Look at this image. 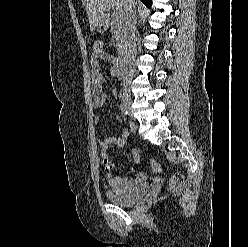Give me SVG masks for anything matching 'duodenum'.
Listing matches in <instances>:
<instances>
[{
	"label": "duodenum",
	"mask_w": 248,
	"mask_h": 247,
	"mask_svg": "<svg viewBox=\"0 0 248 247\" xmlns=\"http://www.w3.org/2000/svg\"><path fill=\"white\" fill-rule=\"evenodd\" d=\"M128 63H129L128 57L125 55H121L117 62L118 71L124 73L128 67Z\"/></svg>",
	"instance_id": "obj_1"
}]
</instances>
